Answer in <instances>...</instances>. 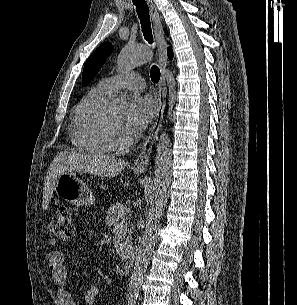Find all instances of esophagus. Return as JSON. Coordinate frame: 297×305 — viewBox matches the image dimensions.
<instances>
[{
  "label": "esophagus",
  "instance_id": "34e87169",
  "mask_svg": "<svg viewBox=\"0 0 297 305\" xmlns=\"http://www.w3.org/2000/svg\"><path fill=\"white\" fill-rule=\"evenodd\" d=\"M153 21L155 39L158 48V65L161 70V79L158 85V106L152 126L148 130L146 137L142 143L141 151L133 163V169L137 171L146 170L154 142L158 138V132L162 125L165 105H166V77L165 69L168 63L167 57V41L162 30V22L160 15L154 5L153 0H147Z\"/></svg>",
  "mask_w": 297,
  "mask_h": 305
}]
</instances>
